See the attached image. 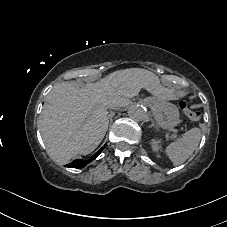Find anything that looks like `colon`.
<instances>
[{
	"label": "colon",
	"mask_w": 227,
	"mask_h": 227,
	"mask_svg": "<svg viewBox=\"0 0 227 227\" xmlns=\"http://www.w3.org/2000/svg\"><path fill=\"white\" fill-rule=\"evenodd\" d=\"M180 108L185 114L188 116L189 119L193 121H197L201 117V113L198 110H193L191 109L186 102H181L180 103Z\"/></svg>",
	"instance_id": "colon-1"
}]
</instances>
